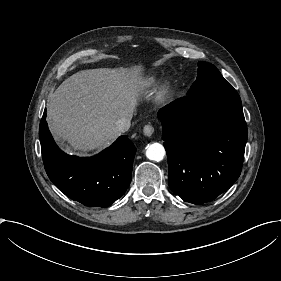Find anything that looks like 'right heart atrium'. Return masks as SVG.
Segmentation results:
<instances>
[{"mask_svg":"<svg viewBox=\"0 0 281 281\" xmlns=\"http://www.w3.org/2000/svg\"><path fill=\"white\" fill-rule=\"evenodd\" d=\"M124 116V107L123 105L118 101L114 100L111 112L109 114V118L111 120H118Z\"/></svg>","mask_w":281,"mask_h":281,"instance_id":"1","label":"right heart atrium"}]
</instances>
